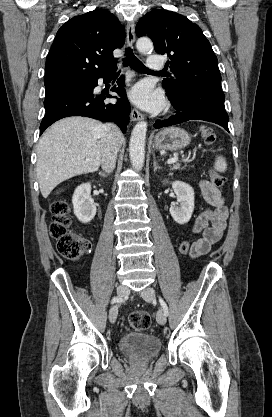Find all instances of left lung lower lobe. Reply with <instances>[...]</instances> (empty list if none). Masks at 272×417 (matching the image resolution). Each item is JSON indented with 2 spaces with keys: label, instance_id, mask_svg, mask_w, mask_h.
<instances>
[{
  "label": "left lung lower lobe",
  "instance_id": "1",
  "mask_svg": "<svg viewBox=\"0 0 272 417\" xmlns=\"http://www.w3.org/2000/svg\"><path fill=\"white\" fill-rule=\"evenodd\" d=\"M173 107L179 112L168 120L155 122L156 129L175 125L188 120H204L216 123L229 132V117L225 108L217 104L199 99L191 94H184L180 98L169 97Z\"/></svg>",
  "mask_w": 272,
  "mask_h": 417
}]
</instances>
